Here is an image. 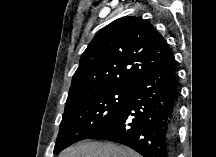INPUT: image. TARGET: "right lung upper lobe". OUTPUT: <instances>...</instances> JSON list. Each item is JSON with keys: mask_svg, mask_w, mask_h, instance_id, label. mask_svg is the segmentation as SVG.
<instances>
[{"mask_svg": "<svg viewBox=\"0 0 216 157\" xmlns=\"http://www.w3.org/2000/svg\"><path fill=\"white\" fill-rule=\"evenodd\" d=\"M171 56L153 25L134 16L119 18L98 31L82 54L65 106L90 91L132 86Z\"/></svg>", "mask_w": 216, "mask_h": 157, "instance_id": "1", "label": "right lung upper lobe"}]
</instances>
